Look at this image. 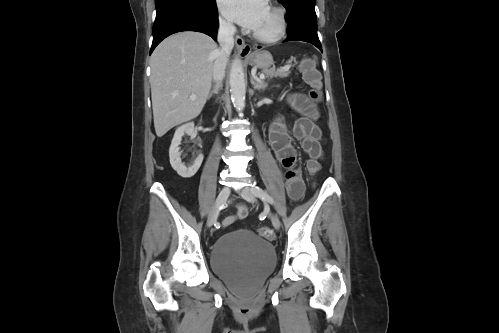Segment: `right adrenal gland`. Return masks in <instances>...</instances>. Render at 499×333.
Instances as JSON below:
<instances>
[{"instance_id": "obj_1", "label": "right adrenal gland", "mask_w": 499, "mask_h": 333, "mask_svg": "<svg viewBox=\"0 0 499 333\" xmlns=\"http://www.w3.org/2000/svg\"><path fill=\"white\" fill-rule=\"evenodd\" d=\"M222 89V85L221 84H216L214 85L213 89L210 91L209 95H208V100L212 97L213 94H218L219 91Z\"/></svg>"}]
</instances>
